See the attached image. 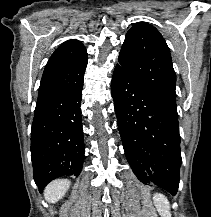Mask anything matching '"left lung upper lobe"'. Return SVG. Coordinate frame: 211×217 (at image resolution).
<instances>
[{
    "mask_svg": "<svg viewBox=\"0 0 211 217\" xmlns=\"http://www.w3.org/2000/svg\"><path fill=\"white\" fill-rule=\"evenodd\" d=\"M118 60L122 71L177 110L176 75L170 51L155 27L147 22L134 24L126 34Z\"/></svg>",
    "mask_w": 211,
    "mask_h": 217,
    "instance_id": "1",
    "label": "left lung upper lobe"
}]
</instances>
